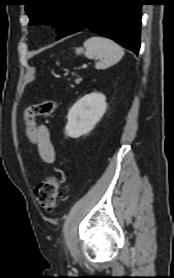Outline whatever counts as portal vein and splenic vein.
Segmentation results:
<instances>
[{"mask_svg":"<svg viewBox=\"0 0 174 278\" xmlns=\"http://www.w3.org/2000/svg\"><path fill=\"white\" fill-rule=\"evenodd\" d=\"M87 66L86 65H83V68L85 69Z\"/></svg>","mask_w":174,"mask_h":278,"instance_id":"portal-vein-and-splenic-vein-1","label":"portal vein and splenic vein"}]
</instances>
